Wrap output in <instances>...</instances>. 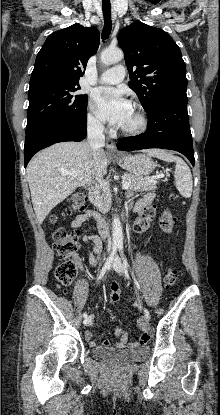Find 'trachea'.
<instances>
[{
    "mask_svg": "<svg viewBox=\"0 0 220 415\" xmlns=\"http://www.w3.org/2000/svg\"><path fill=\"white\" fill-rule=\"evenodd\" d=\"M103 15H104V27L102 31V40H105L109 37L111 28H112V20H111V6L110 4H102Z\"/></svg>",
    "mask_w": 220,
    "mask_h": 415,
    "instance_id": "3493384b",
    "label": "trachea"
}]
</instances>
